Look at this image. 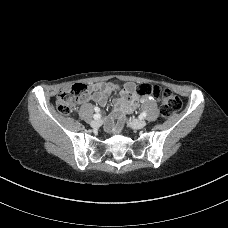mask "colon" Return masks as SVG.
Segmentation results:
<instances>
[{"label":"colon","mask_w":228,"mask_h":228,"mask_svg":"<svg viewBox=\"0 0 228 228\" xmlns=\"http://www.w3.org/2000/svg\"><path fill=\"white\" fill-rule=\"evenodd\" d=\"M87 85L75 83L64 87L56 98L58 111L63 115H68L75 108L78 100L87 92ZM136 93L142 97L157 94L160 101V112L164 117H170L177 113L181 107V100L168 89H159L147 83L136 86Z\"/></svg>","instance_id":"obj_1"}]
</instances>
